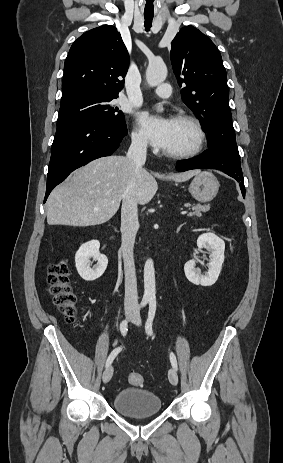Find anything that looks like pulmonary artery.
<instances>
[{"mask_svg": "<svg viewBox=\"0 0 283 463\" xmlns=\"http://www.w3.org/2000/svg\"><path fill=\"white\" fill-rule=\"evenodd\" d=\"M153 93L163 99L171 97V86L169 84H162L153 90Z\"/></svg>", "mask_w": 283, "mask_h": 463, "instance_id": "obj_1", "label": "pulmonary artery"}]
</instances>
